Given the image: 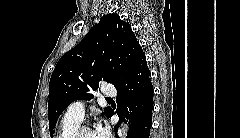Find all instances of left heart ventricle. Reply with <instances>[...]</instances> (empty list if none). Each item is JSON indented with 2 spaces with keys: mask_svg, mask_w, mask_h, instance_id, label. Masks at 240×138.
I'll return each mask as SVG.
<instances>
[{
  "mask_svg": "<svg viewBox=\"0 0 240 138\" xmlns=\"http://www.w3.org/2000/svg\"><path fill=\"white\" fill-rule=\"evenodd\" d=\"M81 138H96L93 130L89 129L82 133Z\"/></svg>",
  "mask_w": 240,
  "mask_h": 138,
  "instance_id": "b2bd125f",
  "label": "left heart ventricle"
}]
</instances>
